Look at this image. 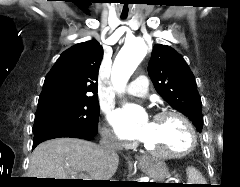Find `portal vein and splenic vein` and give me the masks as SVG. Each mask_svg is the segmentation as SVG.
<instances>
[{
  "label": "portal vein and splenic vein",
  "mask_w": 240,
  "mask_h": 187,
  "mask_svg": "<svg viewBox=\"0 0 240 187\" xmlns=\"http://www.w3.org/2000/svg\"><path fill=\"white\" fill-rule=\"evenodd\" d=\"M79 178L82 179V180H90L91 178H89L86 174L84 173H80L79 175Z\"/></svg>",
  "instance_id": "obj_1"
}]
</instances>
